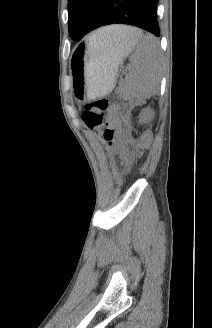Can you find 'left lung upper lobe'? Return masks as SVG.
I'll list each match as a JSON object with an SVG mask.
<instances>
[{
    "label": "left lung upper lobe",
    "instance_id": "left-lung-upper-lobe-1",
    "mask_svg": "<svg viewBox=\"0 0 212 328\" xmlns=\"http://www.w3.org/2000/svg\"><path fill=\"white\" fill-rule=\"evenodd\" d=\"M103 0H68L69 34L80 41L90 32Z\"/></svg>",
    "mask_w": 212,
    "mask_h": 328
}]
</instances>
